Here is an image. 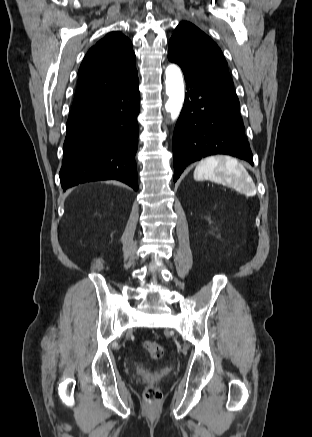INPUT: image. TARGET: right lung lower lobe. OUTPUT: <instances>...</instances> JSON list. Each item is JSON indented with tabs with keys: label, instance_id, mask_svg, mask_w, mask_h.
<instances>
[{
	"label": "right lung lower lobe",
	"instance_id": "obj_1",
	"mask_svg": "<svg viewBox=\"0 0 312 437\" xmlns=\"http://www.w3.org/2000/svg\"><path fill=\"white\" fill-rule=\"evenodd\" d=\"M138 75L114 94L71 111L63 146V190L81 183L115 179L138 190Z\"/></svg>",
	"mask_w": 312,
	"mask_h": 437
}]
</instances>
